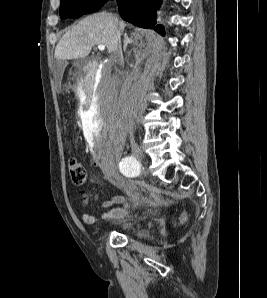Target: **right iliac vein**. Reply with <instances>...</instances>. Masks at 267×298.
<instances>
[{
	"mask_svg": "<svg viewBox=\"0 0 267 298\" xmlns=\"http://www.w3.org/2000/svg\"><path fill=\"white\" fill-rule=\"evenodd\" d=\"M132 153L137 160L141 161L144 159V154L137 145L132 146Z\"/></svg>",
	"mask_w": 267,
	"mask_h": 298,
	"instance_id": "obj_1",
	"label": "right iliac vein"
}]
</instances>
